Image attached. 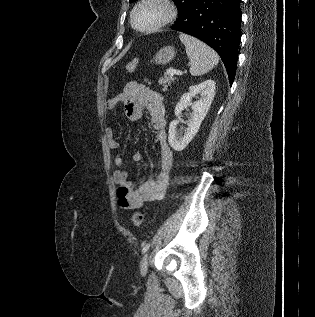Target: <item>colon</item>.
Listing matches in <instances>:
<instances>
[{
	"instance_id": "obj_1",
	"label": "colon",
	"mask_w": 315,
	"mask_h": 317,
	"mask_svg": "<svg viewBox=\"0 0 315 317\" xmlns=\"http://www.w3.org/2000/svg\"><path fill=\"white\" fill-rule=\"evenodd\" d=\"M139 61L138 59L134 58L130 60L126 66L125 69L127 72H134L135 69L137 68ZM144 221V215L141 212H135L132 215V222L136 227H140L143 224Z\"/></svg>"
}]
</instances>
